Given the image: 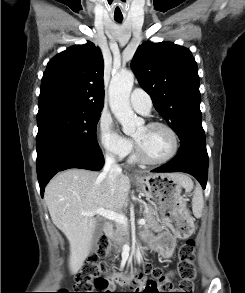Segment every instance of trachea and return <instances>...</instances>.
I'll list each match as a JSON object with an SVG mask.
<instances>
[{
  "label": "trachea",
  "mask_w": 245,
  "mask_h": 293,
  "mask_svg": "<svg viewBox=\"0 0 245 293\" xmlns=\"http://www.w3.org/2000/svg\"><path fill=\"white\" fill-rule=\"evenodd\" d=\"M115 21H117V22H121V21H122V19H115Z\"/></svg>",
  "instance_id": "obj_1"
}]
</instances>
